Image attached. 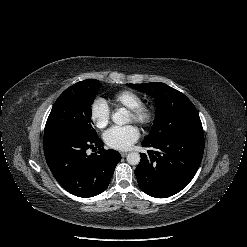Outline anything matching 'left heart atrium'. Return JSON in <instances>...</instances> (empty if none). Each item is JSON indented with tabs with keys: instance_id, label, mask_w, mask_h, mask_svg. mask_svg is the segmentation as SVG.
Returning <instances> with one entry per match:
<instances>
[{
	"instance_id": "1",
	"label": "left heart atrium",
	"mask_w": 247,
	"mask_h": 247,
	"mask_svg": "<svg viewBox=\"0 0 247 247\" xmlns=\"http://www.w3.org/2000/svg\"><path fill=\"white\" fill-rule=\"evenodd\" d=\"M139 138V131L133 125L114 126L104 133L105 143L113 149L127 150Z\"/></svg>"
}]
</instances>
